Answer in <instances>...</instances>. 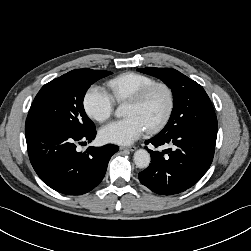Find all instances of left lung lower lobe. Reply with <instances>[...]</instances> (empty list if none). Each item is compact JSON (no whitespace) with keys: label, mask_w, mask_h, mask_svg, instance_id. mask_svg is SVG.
I'll use <instances>...</instances> for the list:
<instances>
[{"label":"left lung lower lobe","mask_w":251,"mask_h":251,"mask_svg":"<svg viewBox=\"0 0 251 251\" xmlns=\"http://www.w3.org/2000/svg\"><path fill=\"white\" fill-rule=\"evenodd\" d=\"M206 106L193 118L196 123L145 141L155 147L170 144L172 148L159 152L146 147L151 163L139 173L143 185L157 194L173 195L189 189L206 173L217 137V122L210 121L212 110Z\"/></svg>","instance_id":"left-lung-lower-lobe-1"}]
</instances>
